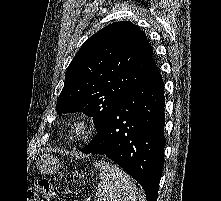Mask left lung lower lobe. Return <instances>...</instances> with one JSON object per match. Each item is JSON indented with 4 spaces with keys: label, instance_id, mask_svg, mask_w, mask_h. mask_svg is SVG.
<instances>
[{
    "label": "left lung lower lobe",
    "instance_id": "0a47b994",
    "mask_svg": "<svg viewBox=\"0 0 221 201\" xmlns=\"http://www.w3.org/2000/svg\"><path fill=\"white\" fill-rule=\"evenodd\" d=\"M164 85L158 69L119 101L83 153L106 155L157 201L164 160Z\"/></svg>",
    "mask_w": 221,
    "mask_h": 201
}]
</instances>
